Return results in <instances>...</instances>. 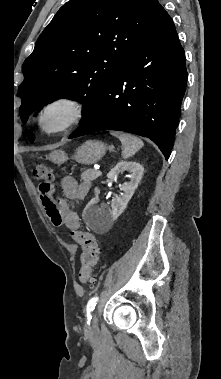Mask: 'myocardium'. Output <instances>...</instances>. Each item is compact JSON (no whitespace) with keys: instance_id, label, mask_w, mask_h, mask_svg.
I'll return each instance as SVG.
<instances>
[{"instance_id":"obj_1","label":"myocardium","mask_w":221,"mask_h":379,"mask_svg":"<svg viewBox=\"0 0 221 379\" xmlns=\"http://www.w3.org/2000/svg\"><path fill=\"white\" fill-rule=\"evenodd\" d=\"M85 114L84 103L70 95H60L46 101L39 109L36 116L38 130L47 136L63 133L78 124ZM57 115L55 123L50 122V117Z\"/></svg>"}]
</instances>
